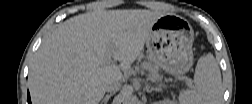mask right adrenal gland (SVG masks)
<instances>
[{"mask_svg": "<svg viewBox=\"0 0 252 104\" xmlns=\"http://www.w3.org/2000/svg\"><path fill=\"white\" fill-rule=\"evenodd\" d=\"M113 95H114V93L107 94V95L103 98V100L100 102V104H107L108 101H109V99H110L111 96H113Z\"/></svg>", "mask_w": 252, "mask_h": 104, "instance_id": "obj_1", "label": "right adrenal gland"}]
</instances>
